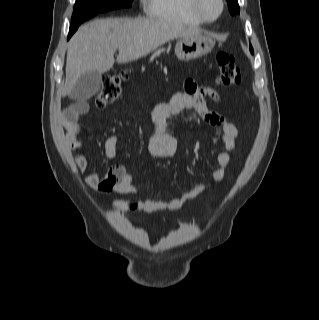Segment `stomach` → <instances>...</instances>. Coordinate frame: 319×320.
Masks as SVG:
<instances>
[{"label":"stomach","mask_w":319,"mask_h":320,"mask_svg":"<svg viewBox=\"0 0 319 320\" xmlns=\"http://www.w3.org/2000/svg\"><path fill=\"white\" fill-rule=\"evenodd\" d=\"M214 45L211 37L202 34L181 37L176 43L175 55L181 61H190L208 54Z\"/></svg>","instance_id":"obj_1"}]
</instances>
